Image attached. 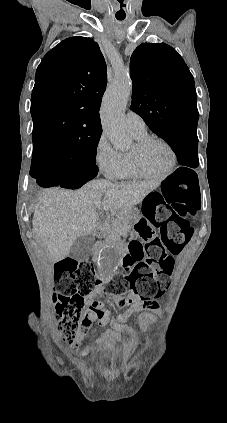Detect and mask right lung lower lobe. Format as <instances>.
Instances as JSON below:
<instances>
[{
  "label": "right lung lower lobe",
  "mask_w": 227,
  "mask_h": 423,
  "mask_svg": "<svg viewBox=\"0 0 227 423\" xmlns=\"http://www.w3.org/2000/svg\"><path fill=\"white\" fill-rule=\"evenodd\" d=\"M39 175L33 177L41 187H62L77 189L96 176L81 175L75 170H71L60 165L58 161H47L40 165Z\"/></svg>",
  "instance_id": "98d812e1"
}]
</instances>
